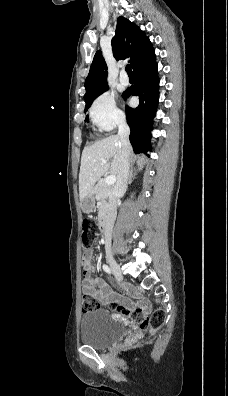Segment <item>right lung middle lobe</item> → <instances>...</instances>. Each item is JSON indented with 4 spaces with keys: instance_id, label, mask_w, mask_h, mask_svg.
<instances>
[{
    "instance_id": "dd1d6c3e",
    "label": "right lung middle lobe",
    "mask_w": 228,
    "mask_h": 396,
    "mask_svg": "<svg viewBox=\"0 0 228 396\" xmlns=\"http://www.w3.org/2000/svg\"><path fill=\"white\" fill-rule=\"evenodd\" d=\"M107 89H108V88H106V89H104V90H102V91L96 93L94 96H92V97L86 102L85 111L91 106L92 101H93L94 99H96L99 95H101L103 92H105ZM86 121H88V117L86 118Z\"/></svg>"
}]
</instances>
